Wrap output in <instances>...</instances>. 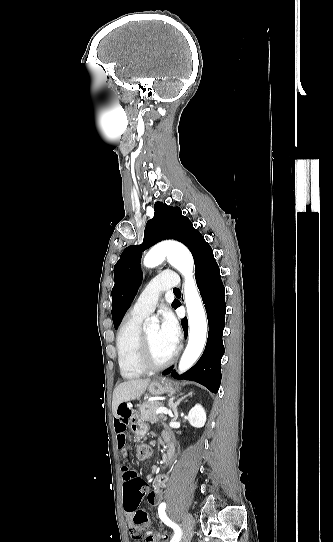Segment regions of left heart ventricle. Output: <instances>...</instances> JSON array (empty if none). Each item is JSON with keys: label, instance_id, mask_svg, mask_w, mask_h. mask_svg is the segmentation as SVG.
<instances>
[{"label": "left heart ventricle", "instance_id": "1", "mask_svg": "<svg viewBox=\"0 0 333 542\" xmlns=\"http://www.w3.org/2000/svg\"><path fill=\"white\" fill-rule=\"evenodd\" d=\"M145 333L149 343L151 358L155 362H163L173 354L174 349L163 337L159 327L152 328Z\"/></svg>", "mask_w": 333, "mask_h": 542}]
</instances>
